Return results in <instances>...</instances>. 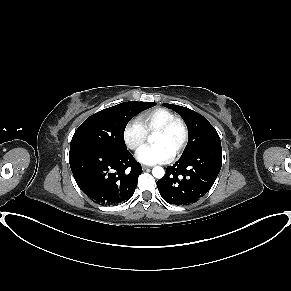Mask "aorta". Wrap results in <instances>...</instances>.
<instances>
[{
    "instance_id": "1",
    "label": "aorta",
    "mask_w": 291,
    "mask_h": 291,
    "mask_svg": "<svg viewBox=\"0 0 291 291\" xmlns=\"http://www.w3.org/2000/svg\"><path fill=\"white\" fill-rule=\"evenodd\" d=\"M152 174L155 178L161 179L164 176L165 171L162 167L156 166L153 168Z\"/></svg>"
}]
</instances>
